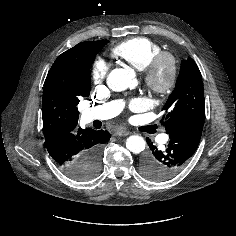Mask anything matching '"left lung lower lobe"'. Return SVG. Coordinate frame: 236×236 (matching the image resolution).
Masks as SVG:
<instances>
[{
	"mask_svg": "<svg viewBox=\"0 0 236 236\" xmlns=\"http://www.w3.org/2000/svg\"><path fill=\"white\" fill-rule=\"evenodd\" d=\"M204 120L182 124L169 134L166 149L158 150L146 138L150 151L141 161V173L152 181H166L179 174L195 153L203 130Z\"/></svg>",
	"mask_w": 236,
	"mask_h": 236,
	"instance_id": "left-lung-lower-lobe-1",
	"label": "left lung lower lobe"
}]
</instances>
